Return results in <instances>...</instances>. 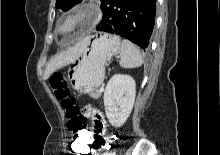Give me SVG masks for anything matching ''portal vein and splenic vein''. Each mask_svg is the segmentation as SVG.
Wrapping results in <instances>:
<instances>
[{"label": "portal vein and splenic vein", "instance_id": "1", "mask_svg": "<svg viewBox=\"0 0 220 155\" xmlns=\"http://www.w3.org/2000/svg\"><path fill=\"white\" fill-rule=\"evenodd\" d=\"M100 91H101V92L103 91V87H100Z\"/></svg>", "mask_w": 220, "mask_h": 155}]
</instances>
